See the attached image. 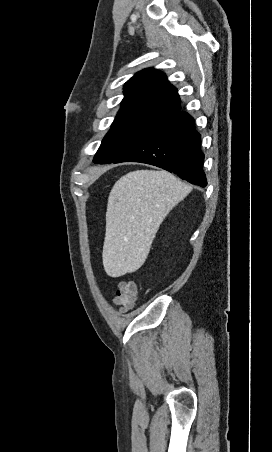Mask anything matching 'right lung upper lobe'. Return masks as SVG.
Returning a JSON list of instances; mask_svg holds the SVG:
<instances>
[{"mask_svg": "<svg viewBox=\"0 0 272 452\" xmlns=\"http://www.w3.org/2000/svg\"><path fill=\"white\" fill-rule=\"evenodd\" d=\"M124 99L118 115L127 113L169 114L181 110L179 95L163 73L144 69L124 86Z\"/></svg>", "mask_w": 272, "mask_h": 452, "instance_id": "cb5924a9", "label": "right lung upper lobe"}]
</instances>
